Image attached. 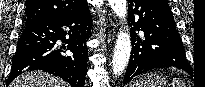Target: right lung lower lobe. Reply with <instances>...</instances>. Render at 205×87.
<instances>
[{
    "instance_id": "1",
    "label": "right lung lower lobe",
    "mask_w": 205,
    "mask_h": 87,
    "mask_svg": "<svg viewBox=\"0 0 205 87\" xmlns=\"http://www.w3.org/2000/svg\"><path fill=\"white\" fill-rule=\"evenodd\" d=\"M90 16L86 4L60 18L26 25L12 59L6 86L25 71L43 70L61 77L72 87H84L88 58L86 42L91 35ZM63 26L70 31H65ZM58 40L67 46L58 48ZM63 49L70 50L73 55H65Z\"/></svg>"
}]
</instances>
